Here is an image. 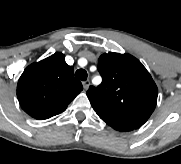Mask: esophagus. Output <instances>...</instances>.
I'll return each mask as SVG.
<instances>
[{"label":"esophagus","mask_w":181,"mask_h":164,"mask_svg":"<svg viewBox=\"0 0 181 164\" xmlns=\"http://www.w3.org/2000/svg\"><path fill=\"white\" fill-rule=\"evenodd\" d=\"M82 84H83L84 89L87 90L90 86V81L89 80L83 81Z\"/></svg>","instance_id":"1"}]
</instances>
